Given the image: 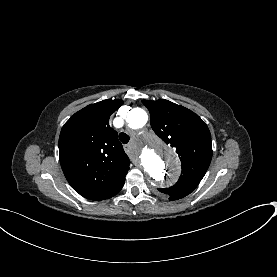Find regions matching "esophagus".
Instances as JSON below:
<instances>
[{
    "instance_id": "obj_1",
    "label": "esophagus",
    "mask_w": 277,
    "mask_h": 277,
    "mask_svg": "<svg viewBox=\"0 0 277 277\" xmlns=\"http://www.w3.org/2000/svg\"><path fill=\"white\" fill-rule=\"evenodd\" d=\"M133 163H134V165H136V166H140V161H139L138 159L133 160Z\"/></svg>"
}]
</instances>
